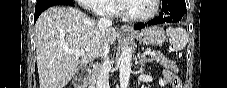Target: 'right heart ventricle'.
Masks as SVG:
<instances>
[{"label":"right heart ventricle","instance_id":"e07e8e85","mask_svg":"<svg viewBox=\"0 0 227 88\" xmlns=\"http://www.w3.org/2000/svg\"><path fill=\"white\" fill-rule=\"evenodd\" d=\"M106 8L109 10L110 14H111V13H114V8H113L110 4H108V5L106 6Z\"/></svg>","mask_w":227,"mask_h":88}]
</instances>
